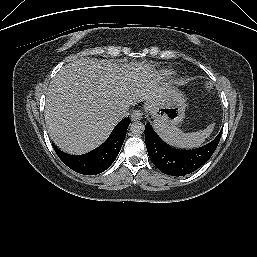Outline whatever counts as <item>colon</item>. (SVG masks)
I'll return each instance as SVG.
<instances>
[{
	"mask_svg": "<svg viewBox=\"0 0 257 257\" xmlns=\"http://www.w3.org/2000/svg\"><path fill=\"white\" fill-rule=\"evenodd\" d=\"M205 89L208 93H213V86L210 83L205 85Z\"/></svg>",
	"mask_w": 257,
	"mask_h": 257,
	"instance_id": "obj_1",
	"label": "colon"
}]
</instances>
